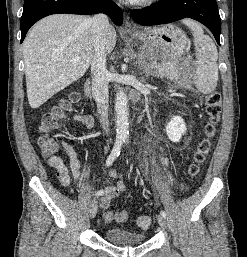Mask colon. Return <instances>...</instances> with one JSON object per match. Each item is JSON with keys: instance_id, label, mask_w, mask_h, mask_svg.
<instances>
[{"instance_id": "5ec220e1", "label": "colon", "mask_w": 247, "mask_h": 257, "mask_svg": "<svg viewBox=\"0 0 247 257\" xmlns=\"http://www.w3.org/2000/svg\"><path fill=\"white\" fill-rule=\"evenodd\" d=\"M77 101L75 94L70 95L67 99L62 100L59 105L54 107L50 112L46 113L40 123L41 137L39 139V147L41 154L46 157L55 156L58 145L51 137L50 133L57 129L69 113L74 103ZM205 114L207 123L205 125V137L199 143L196 152L193 156V161L189 166L188 173L190 177H194L199 173L200 166L205 162L210 149L211 140L215 135L216 126L221 116V95L218 92H212L204 97ZM128 213L126 211H106L104 213V220L107 223L111 222H126L128 220ZM137 224L142 229L149 228L151 219L148 216H140L137 219Z\"/></svg>"}]
</instances>
